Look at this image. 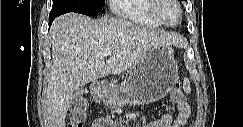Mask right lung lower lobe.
<instances>
[{
    "label": "right lung lower lobe",
    "mask_w": 243,
    "mask_h": 127,
    "mask_svg": "<svg viewBox=\"0 0 243 127\" xmlns=\"http://www.w3.org/2000/svg\"><path fill=\"white\" fill-rule=\"evenodd\" d=\"M54 16H49V25H51L52 21L54 20Z\"/></svg>",
    "instance_id": "obj_1"
}]
</instances>
